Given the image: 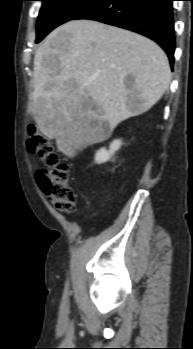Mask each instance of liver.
I'll return each mask as SVG.
<instances>
[{"label": "liver", "instance_id": "liver-1", "mask_svg": "<svg viewBox=\"0 0 193 349\" xmlns=\"http://www.w3.org/2000/svg\"><path fill=\"white\" fill-rule=\"evenodd\" d=\"M170 80L168 58L152 40L72 20L36 50L32 114L40 131L73 157L109 138L123 120L151 109Z\"/></svg>", "mask_w": 193, "mask_h": 349}]
</instances>
